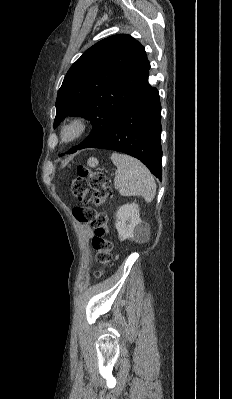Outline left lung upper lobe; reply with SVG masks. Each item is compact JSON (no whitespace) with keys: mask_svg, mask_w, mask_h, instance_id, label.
<instances>
[{"mask_svg":"<svg viewBox=\"0 0 232 399\" xmlns=\"http://www.w3.org/2000/svg\"><path fill=\"white\" fill-rule=\"evenodd\" d=\"M144 47L127 34L103 39L67 72L56 99L54 128L67 117L91 121L90 135L67 154L97 143L128 104L148 65Z\"/></svg>","mask_w":232,"mask_h":399,"instance_id":"obj_1","label":"left lung upper lobe"}]
</instances>
